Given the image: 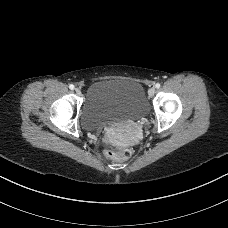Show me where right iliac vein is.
<instances>
[{
  "instance_id": "1",
  "label": "right iliac vein",
  "mask_w": 228,
  "mask_h": 228,
  "mask_svg": "<svg viewBox=\"0 0 228 228\" xmlns=\"http://www.w3.org/2000/svg\"><path fill=\"white\" fill-rule=\"evenodd\" d=\"M75 91H76V93H77L78 95L81 94V90H80L79 88H76Z\"/></svg>"
}]
</instances>
